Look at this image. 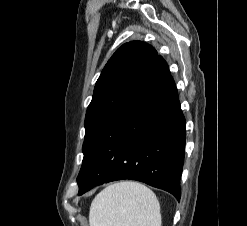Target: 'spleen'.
Listing matches in <instances>:
<instances>
[{"label":"spleen","instance_id":"spleen-1","mask_svg":"<svg viewBox=\"0 0 247 226\" xmlns=\"http://www.w3.org/2000/svg\"><path fill=\"white\" fill-rule=\"evenodd\" d=\"M90 226H161L160 205L145 185L124 181L109 185L92 201Z\"/></svg>","mask_w":247,"mask_h":226}]
</instances>
